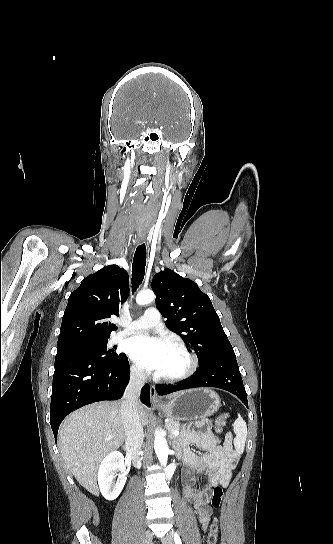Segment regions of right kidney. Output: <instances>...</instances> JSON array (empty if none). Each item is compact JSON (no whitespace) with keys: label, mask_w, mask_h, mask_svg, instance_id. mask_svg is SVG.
I'll return each instance as SVG.
<instances>
[{"label":"right kidney","mask_w":333,"mask_h":544,"mask_svg":"<svg viewBox=\"0 0 333 544\" xmlns=\"http://www.w3.org/2000/svg\"><path fill=\"white\" fill-rule=\"evenodd\" d=\"M117 471H120L121 475L115 482ZM126 480L123 455L118 451L108 454L102 460L98 470V485L102 496L110 501L116 499L124 488Z\"/></svg>","instance_id":"1"}]
</instances>
